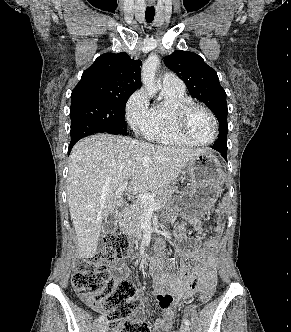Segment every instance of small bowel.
Segmentation results:
<instances>
[{
	"instance_id": "obj_1",
	"label": "small bowel",
	"mask_w": 291,
	"mask_h": 332,
	"mask_svg": "<svg viewBox=\"0 0 291 332\" xmlns=\"http://www.w3.org/2000/svg\"><path fill=\"white\" fill-rule=\"evenodd\" d=\"M193 225L198 234L204 233L201 220H194ZM213 231L219 234L221 232L220 224H216ZM174 241L176 251L181 257L180 261L177 264L169 265L168 257L161 256L154 258L149 266L153 280V295L163 311L162 316L154 322V327L150 332H172L174 309L196 292L202 291L216 282L212 251L217 244L218 236L209 238L203 245L184 250L182 247L189 243L190 239L186 235L184 224H180L174 229ZM185 259L195 260L198 265L190 269L187 267ZM114 269L119 276L127 272L125 264H117Z\"/></svg>"
}]
</instances>
